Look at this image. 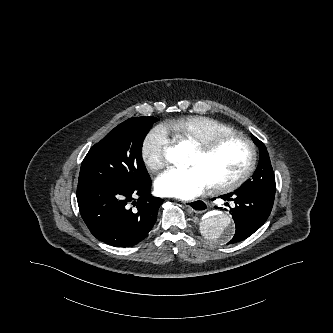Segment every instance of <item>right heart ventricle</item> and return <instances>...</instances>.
I'll return each instance as SVG.
<instances>
[{
    "label": "right heart ventricle",
    "instance_id": "1",
    "mask_svg": "<svg viewBox=\"0 0 333 333\" xmlns=\"http://www.w3.org/2000/svg\"><path fill=\"white\" fill-rule=\"evenodd\" d=\"M165 127L177 140L188 141L194 145L220 135L235 133L230 126L204 116H187L173 119Z\"/></svg>",
    "mask_w": 333,
    "mask_h": 333
}]
</instances>
